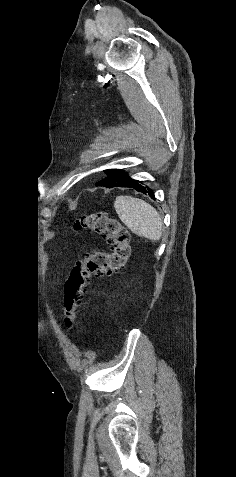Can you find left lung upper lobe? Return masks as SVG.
Segmentation results:
<instances>
[{"instance_id":"1","label":"left lung upper lobe","mask_w":236,"mask_h":477,"mask_svg":"<svg viewBox=\"0 0 236 477\" xmlns=\"http://www.w3.org/2000/svg\"><path fill=\"white\" fill-rule=\"evenodd\" d=\"M107 177L96 183L97 186H104L108 188L114 187L118 183L125 182L129 176L121 169L105 170Z\"/></svg>"}]
</instances>
